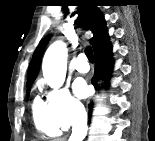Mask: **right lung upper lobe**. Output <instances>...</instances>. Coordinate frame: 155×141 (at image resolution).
I'll return each mask as SVG.
<instances>
[{
	"mask_svg": "<svg viewBox=\"0 0 155 141\" xmlns=\"http://www.w3.org/2000/svg\"><path fill=\"white\" fill-rule=\"evenodd\" d=\"M77 11L79 25L93 32V37L90 39V44L93 46L97 40L107 32L106 24L102 13L97 9L96 4L90 0H82L79 3ZM41 62V48L37 47L32 60L30 62L27 73V85H30L35 80Z\"/></svg>",
	"mask_w": 155,
	"mask_h": 141,
	"instance_id": "right-lung-upper-lobe-1",
	"label": "right lung upper lobe"
}]
</instances>
